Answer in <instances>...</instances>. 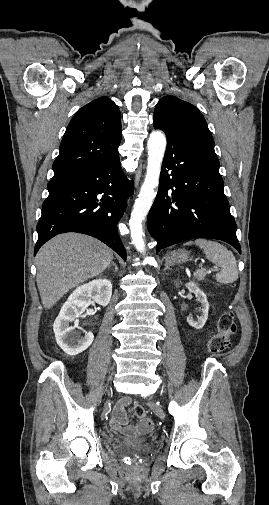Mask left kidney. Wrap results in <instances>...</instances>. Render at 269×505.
Segmentation results:
<instances>
[{
	"mask_svg": "<svg viewBox=\"0 0 269 505\" xmlns=\"http://www.w3.org/2000/svg\"><path fill=\"white\" fill-rule=\"evenodd\" d=\"M186 287L188 290L192 293L195 294L196 300L201 303L200 311L201 315L197 317V319H193L192 317H187V323L195 328V329H201L205 325L207 319H208V311H209V303L207 301L206 294L199 289L197 284L195 282H188L186 284Z\"/></svg>",
	"mask_w": 269,
	"mask_h": 505,
	"instance_id": "obj_1",
	"label": "left kidney"
}]
</instances>
